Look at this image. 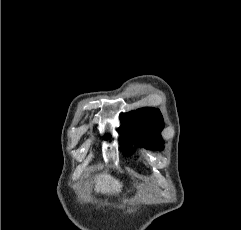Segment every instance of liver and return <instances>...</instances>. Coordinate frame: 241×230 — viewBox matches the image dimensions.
Wrapping results in <instances>:
<instances>
[{
  "instance_id": "6515ba94",
  "label": "liver",
  "mask_w": 241,
  "mask_h": 230,
  "mask_svg": "<svg viewBox=\"0 0 241 230\" xmlns=\"http://www.w3.org/2000/svg\"><path fill=\"white\" fill-rule=\"evenodd\" d=\"M101 191L104 193H115L119 191L120 184L110 175L102 174L100 177Z\"/></svg>"
}]
</instances>
